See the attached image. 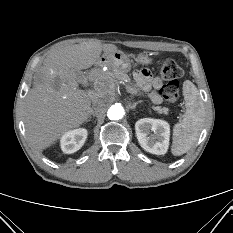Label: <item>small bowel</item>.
I'll return each mask as SVG.
<instances>
[{
  "mask_svg": "<svg viewBox=\"0 0 233 233\" xmlns=\"http://www.w3.org/2000/svg\"><path fill=\"white\" fill-rule=\"evenodd\" d=\"M134 78L140 88L149 94V97L153 103H161L162 99L158 91L162 85V82L159 78L153 76L147 69L136 70L134 72Z\"/></svg>",
  "mask_w": 233,
  "mask_h": 233,
  "instance_id": "obj_1",
  "label": "small bowel"
}]
</instances>
